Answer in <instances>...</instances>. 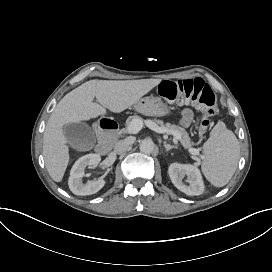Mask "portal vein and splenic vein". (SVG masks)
I'll use <instances>...</instances> for the list:
<instances>
[{"label":"portal vein and splenic vein","instance_id":"1","mask_svg":"<svg viewBox=\"0 0 272 272\" xmlns=\"http://www.w3.org/2000/svg\"><path fill=\"white\" fill-rule=\"evenodd\" d=\"M146 125L153 131H155L156 133H164L166 132V128H163L159 125H157L156 123H154L153 121H147ZM143 127V122L139 119H133L130 124L127 126V133L128 134H137ZM173 135L175 136V139L178 141H182V136L178 133V132H174ZM187 151L191 154V155H198V150L193 148V147H189L187 148Z\"/></svg>","mask_w":272,"mask_h":272}]
</instances>
